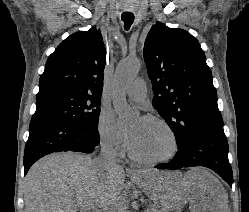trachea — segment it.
Returning <instances> with one entry per match:
<instances>
[{
  "mask_svg": "<svg viewBox=\"0 0 249 212\" xmlns=\"http://www.w3.org/2000/svg\"><path fill=\"white\" fill-rule=\"evenodd\" d=\"M122 21L124 22L125 30H129L133 21H134V14L131 12H123L121 15Z\"/></svg>",
  "mask_w": 249,
  "mask_h": 212,
  "instance_id": "trachea-1",
  "label": "trachea"
}]
</instances>
